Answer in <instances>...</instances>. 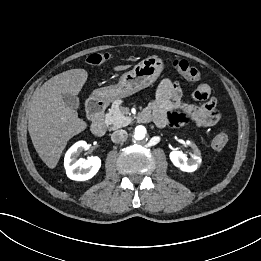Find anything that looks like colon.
Returning a JSON list of instances; mask_svg holds the SVG:
<instances>
[{
    "label": "colon",
    "mask_w": 261,
    "mask_h": 261,
    "mask_svg": "<svg viewBox=\"0 0 261 261\" xmlns=\"http://www.w3.org/2000/svg\"><path fill=\"white\" fill-rule=\"evenodd\" d=\"M110 58L111 55L108 53H91L87 56L86 62L90 65H100ZM172 65L180 74L189 80L198 81L201 79L200 71L184 59H174ZM228 141V136L224 133H220L212 139L211 145L213 149L219 151L226 147Z\"/></svg>",
    "instance_id": "obj_1"
}]
</instances>
